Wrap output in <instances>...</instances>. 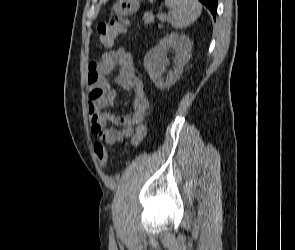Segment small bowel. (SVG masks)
I'll return each mask as SVG.
<instances>
[{
    "label": "small bowel",
    "mask_w": 295,
    "mask_h": 250,
    "mask_svg": "<svg viewBox=\"0 0 295 250\" xmlns=\"http://www.w3.org/2000/svg\"><path fill=\"white\" fill-rule=\"evenodd\" d=\"M114 70H117V85L132 94L128 113L120 117L105 111L116 97L106 79ZM87 81L89 122L96 143L115 145L124 138L132 141L134 127L145 120L150 107L143 81L136 74L132 54L124 48L105 53L99 61L89 64ZM109 123L118 128H108Z\"/></svg>",
    "instance_id": "c3829d8e"
}]
</instances>
